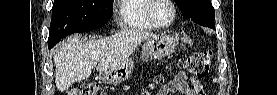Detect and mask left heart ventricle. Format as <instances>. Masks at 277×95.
<instances>
[{"mask_svg": "<svg viewBox=\"0 0 277 95\" xmlns=\"http://www.w3.org/2000/svg\"><path fill=\"white\" fill-rule=\"evenodd\" d=\"M152 14L154 17L160 21L164 22L168 19L171 14V8L164 2H158L152 9Z\"/></svg>", "mask_w": 277, "mask_h": 95, "instance_id": "1", "label": "left heart ventricle"}]
</instances>
